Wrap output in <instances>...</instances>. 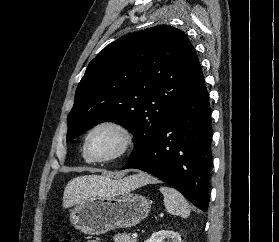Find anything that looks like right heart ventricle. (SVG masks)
Wrapping results in <instances>:
<instances>
[{
	"label": "right heart ventricle",
	"mask_w": 279,
	"mask_h": 242,
	"mask_svg": "<svg viewBox=\"0 0 279 242\" xmlns=\"http://www.w3.org/2000/svg\"><path fill=\"white\" fill-rule=\"evenodd\" d=\"M83 157H84V160L86 161V162H89V160L86 158V156L83 154Z\"/></svg>",
	"instance_id": "right-heart-ventricle-1"
}]
</instances>
